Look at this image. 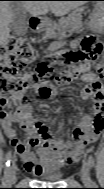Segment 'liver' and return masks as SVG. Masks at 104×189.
I'll list each match as a JSON object with an SVG mask.
<instances>
[{"label": "liver", "mask_w": 104, "mask_h": 189, "mask_svg": "<svg viewBox=\"0 0 104 189\" xmlns=\"http://www.w3.org/2000/svg\"><path fill=\"white\" fill-rule=\"evenodd\" d=\"M23 7L33 16L46 14L51 10L56 16H63L72 9L84 4L83 1H24ZM11 2L1 1L0 4V42L4 45L9 37L10 23L13 14L10 9Z\"/></svg>", "instance_id": "1"}]
</instances>
